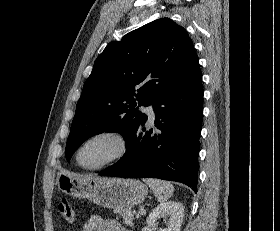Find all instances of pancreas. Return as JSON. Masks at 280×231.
I'll use <instances>...</instances> for the list:
<instances>
[{
    "mask_svg": "<svg viewBox=\"0 0 280 231\" xmlns=\"http://www.w3.org/2000/svg\"><path fill=\"white\" fill-rule=\"evenodd\" d=\"M116 213L122 215L124 219V223L127 225H133L134 213L129 209V207H119V209H115Z\"/></svg>",
    "mask_w": 280,
    "mask_h": 231,
    "instance_id": "cf45deb5",
    "label": "pancreas"
}]
</instances>
